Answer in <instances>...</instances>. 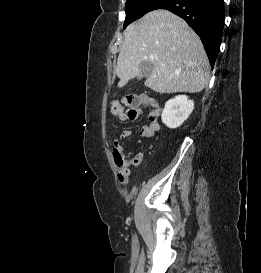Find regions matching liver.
I'll return each mask as SVG.
<instances>
[{"label":"liver","instance_id":"obj_1","mask_svg":"<svg viewBox=\"0 0 261 273\" xmlns=\"http://www.w3.org/2000/svg\"><path fill=\"white\" fill-rule=\"evenodd\" d=\"M117 60L122 88L137 77L142 62L154 69L145 86L158 93H198L208 84L209 62L198 35L180 17L159 9L130 24Z\"/></svg>","mask_w":261,"mask_h":273}]
</instances>
